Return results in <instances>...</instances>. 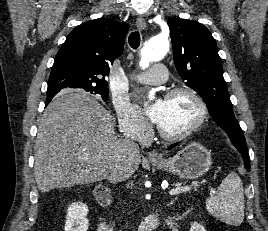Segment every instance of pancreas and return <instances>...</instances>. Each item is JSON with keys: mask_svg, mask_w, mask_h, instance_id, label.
<instances>
[{"mask_svg": "<svg viewBox=\"0 0 268 231\" xmlns=\"http://www.w3.org/2000/svg\"><path fill=\"white\" fill-rule=\"evenodd\" d=\"M179 185H180V184H177L176 186H179ZM192 186H193V189H194V190H197V186H198V185H197L196 183H194ZM190 189H191V188H190ZM189 191H190V190H189Z\"/></svg>", "mask_w": 268, "mask_h": 231, "instance_id": "cf45deb5", "label": "pancreas"}]
</instances>
